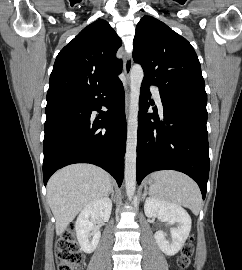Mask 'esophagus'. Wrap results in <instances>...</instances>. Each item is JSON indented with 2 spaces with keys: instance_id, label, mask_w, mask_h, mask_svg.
<instances>
[{
  "instance_id": "34e87169",
  "label": "esophagus",
  "mask_w": 242,
  "mask_h": 270,
  "mask_svg": "<svg viewBox=\"0 0 242 270\" xmlns=\"http://www.w3.org/2000/svg\"><path fill=\"white\" fill-rule=\"evenodd\" d=\"M132 65H133L132 55H128L124 61V75H125V79H126V84L128 86L130 85V73H131ZM129 102H130V95H129V90L127 89L126 96H125L126 115H128Z\"/></svg>"
}]
</instances>
